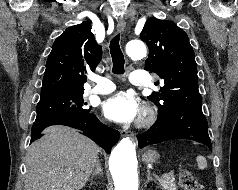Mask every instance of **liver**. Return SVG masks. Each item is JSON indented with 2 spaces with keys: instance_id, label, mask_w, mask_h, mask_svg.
<instances>
[{
  "instance_id": "6515ba94",
  "label": "liver",
  "mask_w": 238,
  "mask_h": 190,
  "mask_svg": "<svg viewBox=\"0 0 238 190\" xmlns=\"http://www.w3.org/2000/svg\"><path fill=\"white\" fill-rule=\"evenodd\" d=\"M32 143L26 156L24 190H80L87 183L99 147L70 127L55 125Z\"/></svg>"
}]
</instances>
